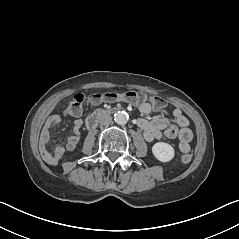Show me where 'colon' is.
<instances>
[{"label":"colon","mask_w":239,"mask_h":239,"mask_svg":"<svg viewBox=\"0 0 239 239\" xmlns=\"http://www.w3.org/2000/svg\"><path fill=\"white\" fill-rule=\"evenodd\" d=\"M150 100L152 105L156 108L162 109L165 106L164 100L159 97H151L142 92L136 91H127L124 93L117 92H104L97 93L90 96V102L99 103V102H117V101H128L132 103H144ZM85 102V97L82 94H76L68 103L65 114L71 117H78L83 112V105ZM192 159L190 153L183 154L181 156V161L183 163H188Z\"/></svg>","instance_id":"5ec220e1"}]
</instances>
